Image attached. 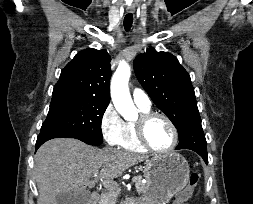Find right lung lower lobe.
Segmentation results:
<instances>
[{
  "label": "right lung lower lobe",
  "mask_w": 253,
  "mask_h": 204,
  "mask_svg": "<svg viewBox=\"0 0 253 204\" xmlns=\"http://www.w3.org/2000/svg\"><path fill=\"white\" fill-rule=\"evenodd\" d=\"M60 137H71V138H76L74 136H69V135H66V134H61V133H56V132H49V131H45V132H40L38 138H37V142H36V150L44 143L46 142L47 140H50L52 138H60ZM76 139H79V138H76ZM81 140V139H79ZM83 141V140H81ZM85 142V141H83ZM86 143V142H85ZM89 144V143H87Z\"/></svg>",
  "instance_id": "obj_1"
}]
</instances>
